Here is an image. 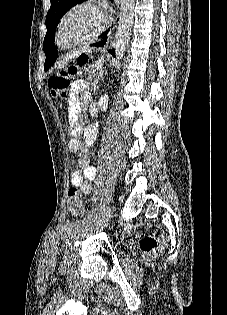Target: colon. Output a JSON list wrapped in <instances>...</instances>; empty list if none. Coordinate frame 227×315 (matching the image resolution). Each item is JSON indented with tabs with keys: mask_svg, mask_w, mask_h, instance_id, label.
Masks as SVG:
<instances>
[{
	"mask_svg": "<svg viewBox=\"0 0 227 315\" xmlns=\"http://www.w3.org/2000/svg\"><path fill=\"white\" fill-rule=\"evenodd\" d=\"M85 64L83 57H78L73 63L58 70L48 79V87L53 95L64 100L67 97V90L72 78L79 72ZM68 211L75 217L83 216L85 212L84 202L78 188L72 187L67 194ZM165 235L162 231L158 237L143 235L140 238V248L146 257H155L164 248Z\"/></svg>",
	"mask_w": 227,
	"mask_h": 315,
	"instance_id": "colon-1",
	"label": "colon"
}]
</instances>
